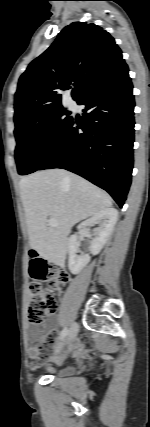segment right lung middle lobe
<instances>
[{"label": "right lung middle lobe", "instance_id": "dd1d6c3e", "mask_svg": "<svg viewBox=\"0 0 150 427\" xmlns=\"http://www.w3.org/2000/svg\"><path fill=\"white\" fill-rule=\"evenodd\" d=\"M61 105L32 112L15 122L18 173L37 170L66 131L72 117Z\"/></svg>", "mask_w": 150, "mask_h": 427}]
</instances>
